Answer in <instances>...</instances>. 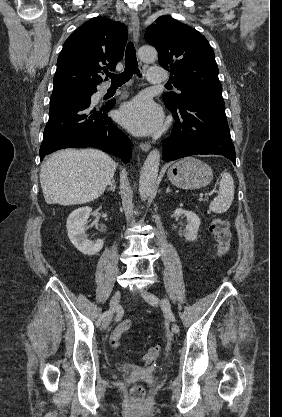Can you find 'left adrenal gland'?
I'll use <instances>...</instances> for the list:
<instances>
[{
    "label": "left adrenal gland",
    "instance_id": "1",
    "mask_svg": "<svg viewBox=\"0 0 282 417\" xmlns=\"http://www.w3.org/2000/svg\"><path fill=\"white\" fill-rule=\"evenodd\" d=\"M166 192H170V186L168 184L167 188H166Z\"/></svg>",
    "mask_w": 282,
    "mask_h": 417
}]
</instances>
